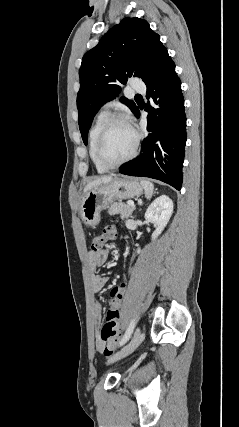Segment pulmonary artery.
Listing matches in <instances>:
<instances>
[{"mask_svg": "<svg viewBox=\"0 0 239 427\" xmlns=\"http://www.w3.org/2000/svg\"><path fill=\"white\" fill-rule=\"evenodd\" d=\"M132 88L133 90H135L136 92H140V93H144L146 91V86L143 82L140 81H136L132 84ZM108 108V104L104 105L103 107V111H107Z\"/></svg>", "mask_w": 239, "mask_h": 427, "instance_id": "e3ab8cb5", "label": "pulmonary artery"}]
</instances>
